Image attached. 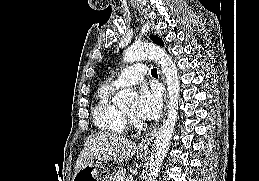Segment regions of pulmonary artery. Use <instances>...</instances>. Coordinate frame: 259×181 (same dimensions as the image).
I'll list each match as a JSON object with an SVG mask.
<instances>
[{
    "mask_svg": "<svg viewBox=\"0 0 259 181\" xmlns=\"http://www.w3.org/2000/svg\"><path fill=\"white\" fill-rule=\"evenodd\" d=\"M146 72L147 69L143 63H136L135 65L125 69L115 80L112 81V85L115 87H123L138 84L142 81Z\"/></svg>",
    "mask_w": 259,
    "mask_h": 181,
    "instance_id": "1",
    "label": "pulmonary artery"
}]
</instances>
